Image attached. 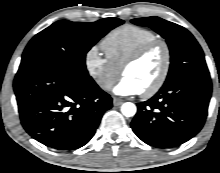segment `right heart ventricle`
<instances>
[{
    "label": "right heart ventricle",
    "mask_w": 220,
    "mask_h": 173,
    "mask_svg": "<svg viewBox=\"0 0 220 173\" xmlns=\"http://www.w3.org/2000/svg\"><path fill=\"white\" fill-rule=\"evenodd\" d=\"M158 39L152 30L124 25L111 31L101 42L106 57L121 69L125 61L143 45Z\"/></svg>",
    "instance_id": "e07e8e85"
}]
</instances>
